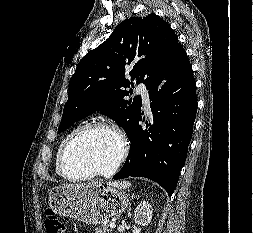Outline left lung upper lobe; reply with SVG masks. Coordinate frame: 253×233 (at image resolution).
Wrapping results in <instances>:
<instances>
[{
  "label": "left lung upper lobe",
  "mask_w": 253,
  "mask_h": 233,
  "mask_svg": "<svg viewBox=\"0 0 253 233\" xmlns=\"http://www.w3.org/2000/svg\"><path fill=\"white\" fill-rule=\"evenodd\" d=\"M177 43L170 25L154 13L121 22L78 63L58 133L100 110L128 134L142 103L141 96L125 100L129 95L125 89L133 82L148 88L162 75Z\"/></svg>",
  "instance_id": "obj_1"
}]
</instances>
